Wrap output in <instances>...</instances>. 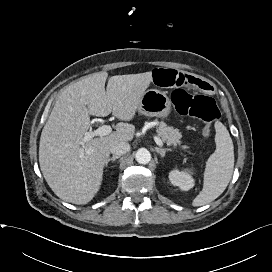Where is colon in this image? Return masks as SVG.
<instances>
[{
	"label": "colon",
	"mask_w": 272,
	"mask_h": 272,
	"mask_svg": "<svg viewBox=\"0 0 272 272\" xmlns=\"http://www.w3.org/2000/svg\"><path fill=\"white\" fill-rule=\"evenodd\" d=\"M171 99L179 114L200 119L204 124V135L210 134L211 124L220 117L214 99L205 95L190 94L184 89H175Z\"/></svg>",
	"instance_id": "colon-1"
}]
</instances>
